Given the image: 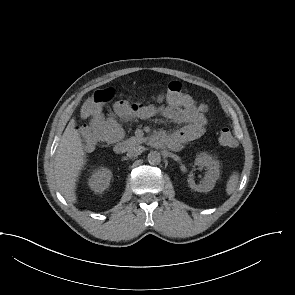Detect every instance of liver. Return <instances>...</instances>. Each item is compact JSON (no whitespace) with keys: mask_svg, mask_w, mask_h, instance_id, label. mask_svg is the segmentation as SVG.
I'll return each mask as SVG.
<instances>
[{"mask_svg":"<svg viewBox=\"0 0 295 295\" xmlns=\"http://www.w3.org/2000/svg\"><path fill=\"white\" fill-rule=\"evenodd\" d=\"M75 126V120L72 119L61 137L54 162L57 187L70 203H75L77 200L76 182L86 164L82 139Z\"/></svg>","mask_w":295,"mask_h":295,"instance_id":"liver-1","label":"liver"}]
</instances>
